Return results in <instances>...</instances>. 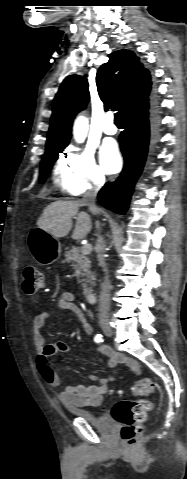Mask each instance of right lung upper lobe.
I'll list each match as a JSON object with an SVG mask.
<instances>
[{"label": "right lung upper lobe", "instance_id": "1", "mask_svg": "<svg viewBox=\"0 0 187 479\" xmlns=\"http://www.w3.org/2000/svg\"><path fill=\"white\" fill-rule=\"evenodd\" d=\"M96 86L105 110L129 111L145 107L155 94L152 77L135 53L119 50L109 55L96 74ZM84 76L70 75L61 84L53 101V113L46 151L65 148L71 137L72 122L89 100Z\"/></svg>", "mask_w": 187, "mask_h": 479}]
</instances>
